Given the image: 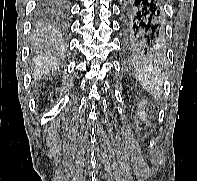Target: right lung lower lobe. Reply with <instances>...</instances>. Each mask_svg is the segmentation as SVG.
<instances>
[{
    "label": "right lung lower lobe",
    "instance_id": "obj_1",
    "mask_svg": "<svg viewBox=\"0 0 197 181\" xmlns=\"http://www.w3.org/2000/svg\"><path fill=\"white\" fill-rule=\"evenodd\" d=\"M41 13L48 19L67 23L69 15V0H41Z\"/></svg>",
    "mask_w": 197,
    "mask_h": 181
}]
</instances>
